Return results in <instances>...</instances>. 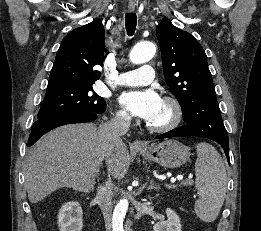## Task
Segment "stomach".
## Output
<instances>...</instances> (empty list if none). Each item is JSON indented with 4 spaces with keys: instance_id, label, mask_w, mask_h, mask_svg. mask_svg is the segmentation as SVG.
<instances>
[{
    "instance_id": "1",
    "label": "stomach",
    "mask_w": 261,
    "mask_h": 231,
    "mask_svg": "<svg viewBox=\"0 0 261 231\" xmlns=\"http://www.w3.org/2000/svg\"><path fill=\"white\" fill-rule=\"evenodd\" d=\"M137 152L165 168H177L190 158V148L176 140H166L158 145H152Z\"/></svg>"
}]
</instances>
